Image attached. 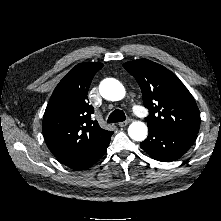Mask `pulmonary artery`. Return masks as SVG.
I'll return each mask as SVG.
<instances>
[{
    "label": "pulmonary artery",
    "instance_id": "e3ab8cb5",
    "mask_svg": "<svg viewBox=\"0 0 221 221\" xmlns=\"http://www.w3.org/2000/svg\"><path fill=\"white\" fill-rule=\"evenodd\" d=\"M134 111H135L136 113H140V108L137 107V106H135V107H134Z\"/></svg>",
    "mask_w": 221,
    "mask_h": 221
}]
</instances>
